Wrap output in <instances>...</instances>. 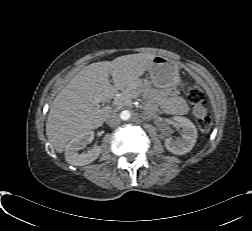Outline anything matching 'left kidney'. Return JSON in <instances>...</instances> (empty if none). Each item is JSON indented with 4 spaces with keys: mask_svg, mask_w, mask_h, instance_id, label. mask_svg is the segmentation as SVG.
Segmentation results:
<instances>
[{
    "mask_svg": "<svg viewBox=\"0 0 252 231\" xmlns=\"http://www.w3.org/2000/svg\"><path fill=\"white\" fill-rule=\"evenodd\" d=\"M173 120L177 126L182 128V137L177 140L166 138L165 147L173 154L182 155L193 148L197 138V129L195 125L185 117L175 116Z\"/></svg>",
    "mask_w": 252,
    "mask_h": 231,
    "instance_id": "left-kidney-1",
    "label": "left kidney"
}]
</instances>
